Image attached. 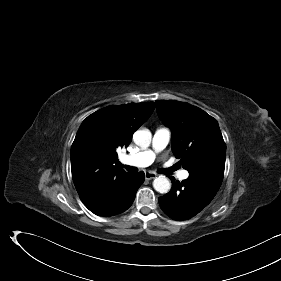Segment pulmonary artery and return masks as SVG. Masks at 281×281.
<instances>
[{"label": "pulmonary artery", "instance_id": "pulmonary-artery-1", "mask_svg": "<svg viewBox=\"0 0 281 281\" xmlns=\"http://www.w3.org/2000/svg\"><path fill=\"white\" fill-rule=\"evenodd\" d=\"M170 139V129L166 127H159L153 134L151 148L139 151L132 155L123 156L122 161L126 164L138 167L149 166L154 161L156 154L166 148ZM178 177L180 179H187L189 177V172L182 170L179 172Z\"/></svg>", "mask_w": 281, "mask_h": 281}]
</instances>
